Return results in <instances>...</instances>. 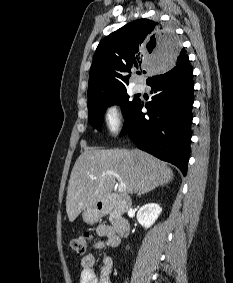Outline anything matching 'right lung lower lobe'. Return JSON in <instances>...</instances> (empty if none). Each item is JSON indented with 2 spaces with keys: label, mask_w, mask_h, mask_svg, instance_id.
Returning <instances> with one entry per match:
<instances>
[{
  "label": "right lung lower lobe",
  "mask_w": 233,
  "mask_h": 283,
  "mask_svg": "<svg viewBox=\"0 0 233 283\" xmlns=\"http://www.w3.org/2000/svg\"><path fill=\"white\" fill-rule=\"evenodd\" d=\"M147 84L153 94L152 101L145 105L147 113L141 112L143 102L138 100L121 134L127 132L139 149L176 165L186 175L194 87L188 56L171 70H161Z\"/></svg>",
  "instance_id": "obj_1"
}]
</instances>
